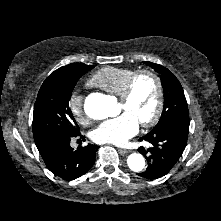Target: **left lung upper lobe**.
<instances>
[{
    "mask_svg": "<svg viewBox=\"0 0 221 221\" xmlns=\"http://www.w3.org/2000/svg\"><path fill=\"white\" fill-rule=\"evenodd\" d=\"M156 72L161 74V83L164 92V109L161 118L153 130L169 125L175 120L189 119L187 101L183 88L177 78L162 65L145 62Z\"/></svg>",
    "mask_w": 221,
    "mask_h": 221,
    "instance_id": "5c2ea615",
    "label": "left lung upper lobe"
}]
</instances>
